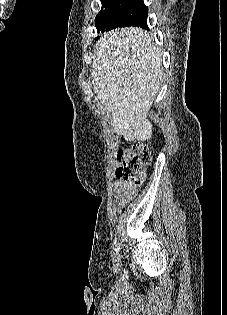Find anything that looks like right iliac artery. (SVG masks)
<instances>
[{
	"label": "right iliac artery",
	"mask_w": 227,
	"mask_h": 315,
	"mask_svg": "<svg viewBox=\"0 0 227 315\" xmlns=\"http://www.w3.org/2000/svg\"><path fill=\"white\" fill-rule=\"evenodd\" d=\"M113 246H114V250H115L116 253H117V252L119 251L120 247H119V244L117 243L116 240H114Z\"/></svg>",
	"instance_id": "obj_1"
}]
</instances>
